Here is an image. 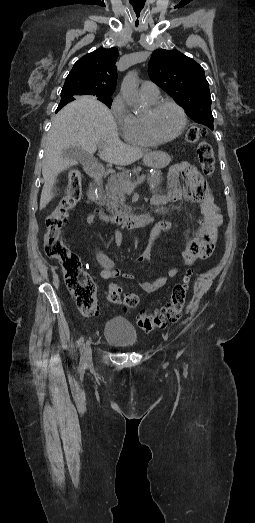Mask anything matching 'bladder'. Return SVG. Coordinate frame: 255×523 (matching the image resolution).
Listing matches in <instances>:
<instances>
[{"label": "bladder", "instance_id": "31cf9c89", "mask_svg": "<svg viewBox=\"0 0 255 523\" xmlns=\"http://www.w3.org/2000/svg\"><path fill=\"white\" fill-rule=\"evenodd\" d=\"M105 340L116 346L134 347L137 345V332L134 327L122 318L108 319Z\"/></svg>", "mask_w": 255, "mask_h": 523}]
</instances>
